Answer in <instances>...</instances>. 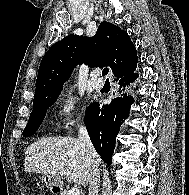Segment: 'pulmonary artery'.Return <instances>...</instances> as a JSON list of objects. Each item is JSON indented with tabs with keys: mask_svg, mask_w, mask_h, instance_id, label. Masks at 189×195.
<instances>
[{
	"mask_svg": "<svg viewBox=\"0 0 189 195\" xmlns=\"http://www.w3.org/2000/svg\"><path fill=\"white\" fill-rule=\"evenodd\" d=\"M91 86L94 89H101L103 87V81L100 79V74L97 72H94L91 74V81H90Z\"/></svg>",
	"mask_w": 189,
	"mask_h": 195,
	"instance_id": "obj_1",
	"label": "pulmonary artery"
}]
</instances>
